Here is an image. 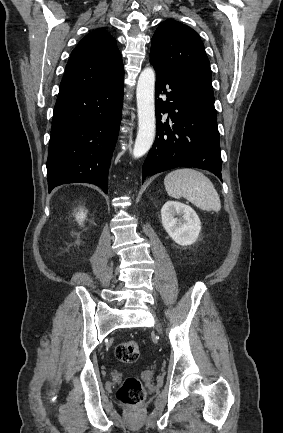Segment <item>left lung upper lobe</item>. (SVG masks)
<instances>
[{
  "label": "left lung upper lobe",
  "mask_w": 283,
  "mask_h": 433,
  "mask_svg": "<svg viewBox=\"0 0 283 433\" xmlns=\"http://www.w3.org/2000/svg\"><path fill=\"white\" fill-rule=\"evenodd\" d=\"M150 58L192 78L198 93L196 106L216 115L210 63L197 32L173 19L162 22L152 37Z\"/></svg>",
  "instance_id": "5c2ea615"
}]
</instances>
